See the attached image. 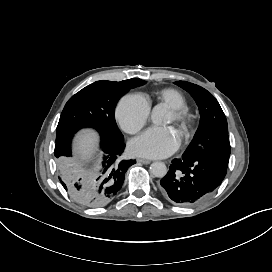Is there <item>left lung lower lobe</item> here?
Returning <instances> with one entry per match:
<instances>
[{"instance_id": "1", "label": "left lung lower lobe", "mask_w": 272, "mask_h": 272, "mask_svg": "<svg viewBox=\"0 0 272 272\" xmlns=\"http://www.w3.org/2000/svg\"><path fill=\"white\" fill-rule=\"evenodd\" d=\"M228 162L214 158L175 159L160 181V192L180 206H191L215 190L223 181ZM181 171L184 176L179 178Z\"/></svg>"}]
</instances>
